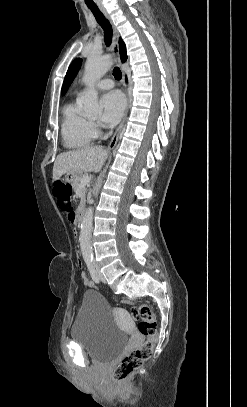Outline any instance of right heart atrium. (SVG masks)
Listing matches in <instances>:
<instances>
[{"mask_svg": "<svg viewBox=\"0 0 247 407\" xmlns=\"http://www.w3.org/2000/svg\"><path fill=\"white\" fill-rule=\"evenodd\" d=\"M92 127H93L94 132H98L100 129V125L95 122H92Z\"/></svg>", "mask_w": 247, "mask_h": 407, "instance_id": "1", "label": "right heart atrium"}]
</instances>
